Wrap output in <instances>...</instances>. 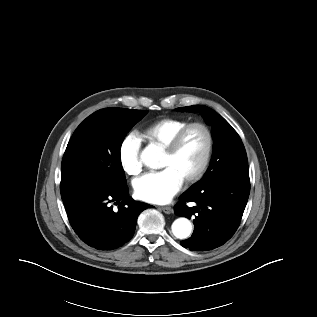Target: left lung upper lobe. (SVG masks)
Returning a JSON list of instances; mask_svg holds the SVG:
<instances>
[{"mask_svg":"<svg viewBox=\"0 0 317 317\" xmlns=\"http://www.w3.org/2000/svg\"><path fill=\"white\" fill-rule=\"evenodd\" d=\"M179 111L199 112L212 126L214 149L205 176L193 186L216 183L232 175H248V161L241 138L218 113L203 105L178 108Z\"/></svg>","mask_w":317,"mask_h":317,"instance_id":"1","label":"left lung upper lobe"}]
</instances>
